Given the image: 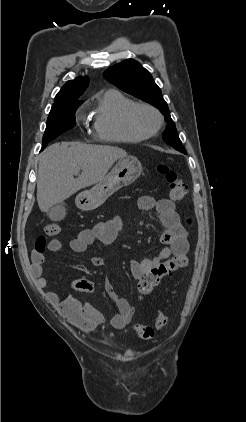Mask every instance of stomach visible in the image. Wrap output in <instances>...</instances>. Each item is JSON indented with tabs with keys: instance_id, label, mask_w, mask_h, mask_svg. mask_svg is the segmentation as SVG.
<instances>
[{
	"instance_id": "1",
	"label": "stomach",
	"mask_w": 246,
	"mask_h": 422,
	"mask_svg": "<svg viewBox=\"0 0 246 422\" xmlns=\"http://www.w3.org/2000/svg\"><path fill=\"white\" fill-rule=\"evenodd\" d=\"M141 172L142 165L136 157L126 156L121 158L103 180L77 196V206L85 211L96 209L114 192L132 184Z\"/></svg>"
}]
</instances>
